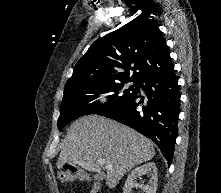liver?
<instances>
[{
  "label": "liver",
  "mask_w": 221,
  "mask_h": 193,
  "mask_svg": "<svg viewBox=\"0 0 221 193\" xmlns=\"http://www.w3.org/2000/svg\"><path fill=\"white\" fill-rule=\"evenodd\" d=\"M154 155L153 142L142 134L109 118L90 115L70 125L57 166L61 168L71 163L103 174L107 186L112 189L124 174ZM98 160H104L105 164ZM105 165H111L112 170L100 173Z\"/></svg>",
  "instance_id": "obj_1"
}]
</instances>
